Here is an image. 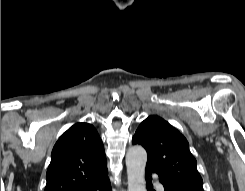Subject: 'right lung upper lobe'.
<instances>
[{"label":"right lung upper lobe","instance_id":"cb5924a9","mask_svg":"<svg viewBox=\"0 0 245 191\" xmlns=\"http://www.w3.org/2000/svg\"><path fill=\"white\" fill-rule=\"evenodd\" d=\"M108 177L103 143L88 123H76L56 142L44 191H77Z\"/></svg>","mask_w":245,"mask_h":191}]
</instances>
